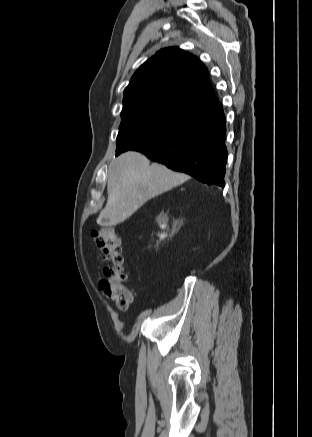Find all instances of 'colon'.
<instances>
[{
	"mask_svg": "<svg viewBox=\"0 0 312 437\" xmlns=\"http://www.w3.org/2000/svg\"><path fill=\"white\" fill-rule=\"evenodd\" d=\"M103 258L108 264L103 268L104 277L100 281L103 293L115 302L120 309H127L131 302V292L125 285L126 274L123 271L121 240L112 227H103L92 232Z\"/></svg>",
	"mask_w": 312,
	"mask_h": 437,
	"instance_id": "colon-1",
	"label": "colon"
}]
</instances>
